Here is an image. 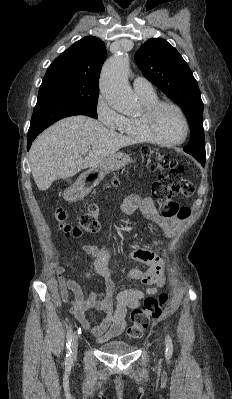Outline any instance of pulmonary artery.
<instances>
[{
	"mask_svg": "<svg viewBox=\"0 0 232 399\" xmlns=\"http://www.w3.org/2000/svg\"><path fill=\"white\" fill-rule=\"evenodd\" d=\"M131 82L134 84V88H139V96L154 95V83H150V81H144L141 73H136L135 77H132Z\"/></svg>",
	"mask_w": 232,
	"mask_h": 399,
	"instance_id": "obj_1",
	"label": "pulmonary artery"
}]
</instances>
